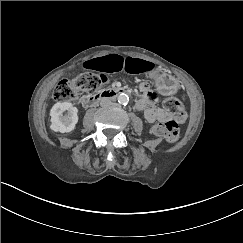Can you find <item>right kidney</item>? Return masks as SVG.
<instances>
[{"instance_id":"1","label":"right kidney","mask_w":243,"mask_h":243,"mask_svg":"<svg viewBox=\"0 0 243 243\" xmlns=\"http://www.w3.org/2000/svg\"><path fill=\"white\" fill-rule=\"evenodd\" d=\"M67 112L66 115H63ZM79 109L72 102H56L50 110V129L59 133H71L78 123Z\"/></svg>"}]
</instances>
